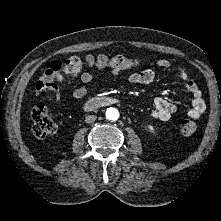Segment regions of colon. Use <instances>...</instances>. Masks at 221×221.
<instances>
[{
    "mask_svg": "<svg viewBox=\"0 0 221 221\" xmlns=\"http://www.w3.org/2000/svg\"><path fill=\"white\" fill-rule=\"evenodd\" d=\"M140 61L125 56L107 57L88 56L85 59L80 57H71L64 62L55 60L49 64L37 83V90L45 92L55 97L57 95V82H59L65 73H78L82 67L87 64L91 67H110L113 70H127L137 67ZM32 131L38 138H43L55 133L57 124L54 121L49 109L39 104L32 110ZM179 132L186 137L192 136L196 131V125L193 120L186 118L178 124Z\"/></svg>",
    "mask_w": 221,
    "mask_h": 221,
    "instance_id": "colon-1",
    "label": "colon"
}]
</instances>
